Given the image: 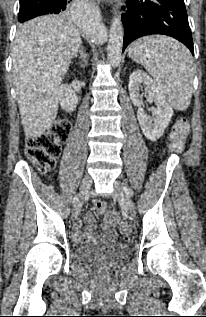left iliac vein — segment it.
<instances>
[{
	"label": "left iliac vein",
	"instance_id": "1",
	"mask_svg": "<svg viewBox=\"0 0 206 317\" xmlns=\"http://www.w3.org/2000/svg\"><path fill=\"white\" fill-rule=\"evenodd\" d=\"M112 196L118 200L125 208L129 216L134 217L136 214V207L134 202L129 198V196L124 191L123 186L120 183H115V190Z\"/></svg>",
	"mask_w": 206,
	"mask_h": 317
}]
</instances>
